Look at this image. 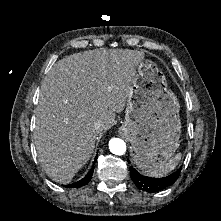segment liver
I'll return each instance as SVG.
<instances>
[{
  "mask_svg": "<svg viewBox=\"0 0 221 221\" xmlns=\"http://www.w3.org/2000/svg\"><path fill=\"white\" fill-rule=\"evenodd\" d=\"M144 56L129 49L90 50L66 56L50 69L40 88L33 139L52 180L69 183L89 161L97 136L124 110Z\"/></svg>",
  "mask_w": 221,
  "mask_h": 221,
  "instance_id": "6515ba94",
  "label": "liver"
}]
</instances>
